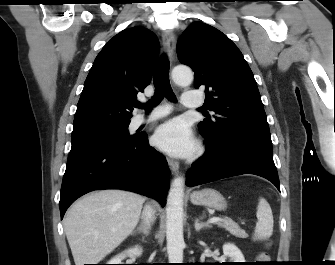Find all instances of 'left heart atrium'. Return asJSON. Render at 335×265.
<instances>
[{"label": "left heart atrium", "mask_w": 335, "mask_h": 265, "mask_svg": "<svg viewBox=\"0 0 335 265\" xmlns=\"http://www.w3.org/2000/svg\"><path fill=\"white\" fill-rule=\"evenodd\" d=\"M154 142L161 150L174 156H186L195 147L190 129L181 119H173L159 126L154 134Z\"/></svg>", "instance_id": "1"}]
</instances>
